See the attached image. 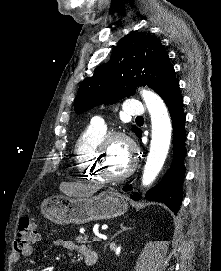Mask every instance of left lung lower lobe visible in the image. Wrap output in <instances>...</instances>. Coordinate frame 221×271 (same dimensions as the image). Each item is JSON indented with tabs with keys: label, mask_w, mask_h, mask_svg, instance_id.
I'll return each instance as SVG.
<instances>
[{
	"label": "left lung lower lobe",
	"mask_w": 221,
	"mask_h": 271,
	"mask_svg": "<svg viewBox=\"0 0 221 271\" xmlns=\"http://www.w3.org/2000/svg\"><path fill=\"white\" fill-rule=\"evenodd\" d=\"M170 112L173 123V161L163 179L154 188L147 191L145 197L149 201H160L166 204L177 214L182 202V182L185 175L184 158L186 157L184 128L185 114L183 111V98L180 94L179 82H174L161 96ZM141 138V130L136 134ZM129 185L123 187L128 191ZM139 200L135 193L131 196Z\"/></svg>",
	"instance_id": "left-lung-lower-lobe-1"
}]
</instances>
